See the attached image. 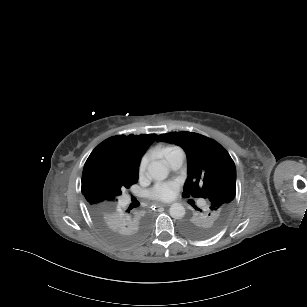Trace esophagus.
Segmentation results:
<instances>
[{"label": "esophagus", "instance_id": "1", "mask_svg": "<svg viewBox=\"0 0 307 307\" xmlns=\"http://www.w3.org/2000/svg\"><path fill=\"white\" fill-rule=\"evenodd\" d=\"M153 206L156 207V208H159V207H164L165 205L159 204V203H154Z\"/></svg>", "mask_w": 307, "mask_h": 307}]
</instances>
